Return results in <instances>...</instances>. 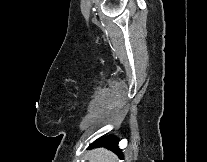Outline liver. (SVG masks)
Wrapping results in <instances>:
<instances>
[{"label":"liver","mask_w":207,"mask_h":162,"mask_svg":"<svg viewBox=\"0 0 207 162\" xmlns=\"http://www.w3.org/2000/svg\"><path fill=\"white\" fill-rule=\"evenodd\" d=\"M88 160L89 162H116L118 158L111 151L104 148H98L89 152Z\"/></svg>","instance_id":"1"}]
</instances>
